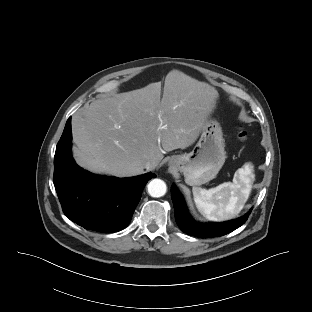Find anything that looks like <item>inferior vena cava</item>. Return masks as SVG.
Wrapping results in <instances>:
<instances>
[{
	"mask_svg": "<svg viewBox=\"0 0 312 312\" xmlns=\"http://www.w3.org/2000/svg\"><path fill=\"white\" fill-rule=\"evenodd\" d=\"M156 166H157L156 162L151 160L145 161L144 163V168H146L147 170H153L155 169Z\"/></svg>",
	"mask_w": 312,
	"mask_h": 312,
	"instance_id": "1",
	"label": "inferior vena cava"
}]
</instances>
